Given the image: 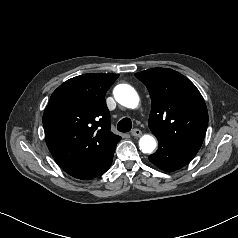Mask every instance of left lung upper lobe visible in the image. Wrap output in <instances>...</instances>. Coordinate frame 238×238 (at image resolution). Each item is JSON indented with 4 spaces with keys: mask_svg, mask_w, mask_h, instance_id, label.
<instances>
[{
    "mask_svg": "<svg viewBox=\"0 0 238 238\" xmlns=\"http://www.w3.org/2000/svg\"><path fill=\"white\" fill-rule=\"evenodd\" d=\"M135 76L150 92L148 126L159 144L197 153L205 137L208 111L196 86L167 68H152Z\"/></svg>",
    "mask_w": 238,
    "mask_h": 238,
    "instance_id": "left-lung-upper-lobe-1",
    "label": "left lung upper lobe"
}]
</instances>
